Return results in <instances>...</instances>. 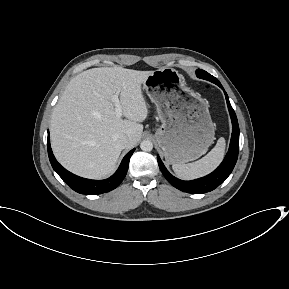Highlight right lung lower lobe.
Instances as JSON below:
<instances>
[{"label": "right lung lower lobe", "instance_id": "obj_1", "mask_svg": "<svg viewBox=\"0 0 289 289\" xmlns=\"http://www.w3.org/2000/svg\"><path fill=\"white\" fill-rule=\"evenodd\" d=\"M47 148H48V155H49L50 163L53 169L62 178V180L74 191L81 193V194H87V195L106 193L115 189L117 186H119V184L122 182V180L126 176L130 157L135 150V149H132L130 152H128L125 155L118 170L110 178L105 179V180H90V179L81 178L79 176H76L70 173L57 162L50 147L49 131H48V139H47Z\"/></svg>", "mask_w": 289, "mask_h": 289}]
</instances>
